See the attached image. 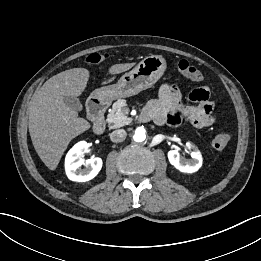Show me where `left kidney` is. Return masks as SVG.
Instances as JSON below:
<instances>
[{
    "label": "left kidney",
    "mask_w": 261,
    "mask_h": 261,
    "mask_svg": "<svg viewBox=\"0 0 261 261\" xmlns=\"http://www.w3.org/2000/svg\"><path fill=\"white\" fill-rule=\"evenodd\" d=\"M186 146L193 149V152L191 153L192 159H184L180 157V154L177 150H170L168 152V159L170 164L180 172L194 173L202 166V155L200 151L191 143L187 142Z\"/></svg>",
    "instance_id": "obj_1"
}]
</instances>
